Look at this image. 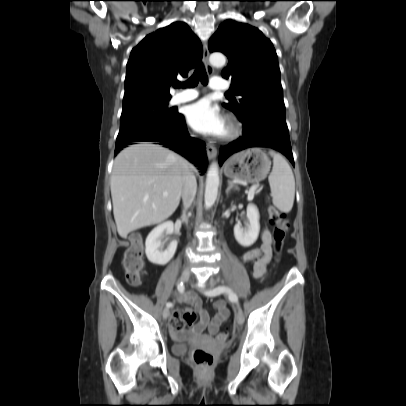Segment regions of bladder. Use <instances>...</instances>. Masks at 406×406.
<instances>
[{
  "instance_id": "31cf9c89",
  "label": "bladder",
  "mask_w": 406,
  "mask_h": 406,
  "mask_svg": "<svg viewBox=\"0 0 406 406\" xmlns=\"http://www.w3.org/2000/svg\"><path fill=\"white\" fill-rule=\"evenodd\" d=\"M173 352L177 355H184L187 352V347L183 343H178L173 346Z\"/></svg>"
}]
</instances>
